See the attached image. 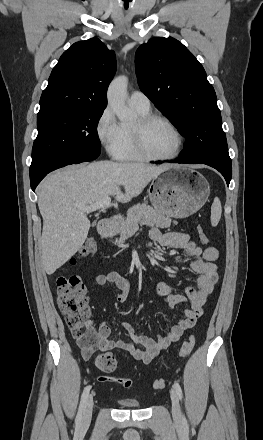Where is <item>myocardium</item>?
<instances>
[{"label": "myocardium", "instance_id": "1", "mask_svg": "<svg viewBox=\"0 0 263 440\" xmlns=\"http://www.w3.org/2000/svg\"><path fill=\"white\" fill-rule=\"evenodd\" d=\"M156 121H162V122L166 123L168 126H170V128L174 131V133L177 137L176 150L170 155H166V156L153 155L147 150V148L145 146L144 130L149 125H151L152 123H154ZM130 132H131V136H132L134 151L141 159H144V160L170 161V160L177 158L180 155V153L182 152L183 147H184V137H183L182 132L178 128V126L170 118H168L164 115H161V114H150L149 113L147 115L140 116L138 118L137 125L132 126L130 128Z\"/></svg>", "mask_w": 263, "mask_h": 440}]
</instances>
